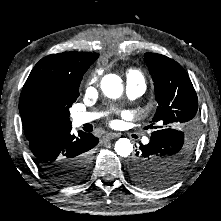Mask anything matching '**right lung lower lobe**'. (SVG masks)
Segmentation results:
<instances>
[{
	"instance_id": "98d812e1",
	"label": "right lung lower lobe",
	"mask_w": 221,
	"mask_h": 221,
	"mask_svg": "<svg viewBox=\"0 0 221 221\" xmlns=\"http://www.w3.org/2000/svg\"><path fill=\"white\" fill-rule=\"evenodd\" d=\"M71 125L46 130L29 141L30 150L38 168L53 181L70 185L82 181L90 166V150L98 143V138L90 133L71 134ZM83 159L82 172L71 168L75 160Z\"/></svg>"
}]
</instances>
